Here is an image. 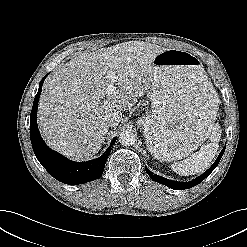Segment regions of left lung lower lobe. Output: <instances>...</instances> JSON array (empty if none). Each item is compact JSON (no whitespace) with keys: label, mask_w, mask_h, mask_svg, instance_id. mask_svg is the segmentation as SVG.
I'll return each mask as SVG.
<instances>
[{"label":"left lung lower lobe","mask_w":247,"mask_h":247,"mask_svg":"<svg viewBox=\"0 0 247 247\" xmlns=\"http://www.w3.org/2000/svg\"><path fill=\"white\" fill-rule=\"evenodd\" d=\"M225 147L223 148V150L221 151V153L219 154L218 158L216 159V161L214 162V164L207 170L205 171L201 176L197 177L196 179L189 181V182H177V181H172L166 178H163L159 175H154L149 169H146V172L148 175H150L151 179L161 183L163 185H166L172 189H176V190H183V189H188L191 188L193 186L198 185L199 183H201L208 175H210V173L216 168V166L218 165L219 161L222 158V155L224 153Z\"/></svg>","instance_id":"1"}]
</instances>
